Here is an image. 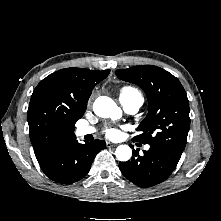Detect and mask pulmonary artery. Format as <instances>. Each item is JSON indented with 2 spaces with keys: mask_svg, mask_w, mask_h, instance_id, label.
Instances as JSON below:
<instances>
[{
  "mask_svg": "<svg viewBox=\"0 0 221 221\" xmlns=\"http://www.w3.org/2000/svg\"><path fill=\"white\" fill-rule=\"evenodd\" d=\"M120 101L123 106V109L128 114L136 113L143 103V100L140 98L126 99V98L120 97ZM94 132H95V129L91 126H81L77 128L76 130V134L78 136H86V135L93 134ZM149 148H150L149 145L145 146L146 150H148Z\"/></svg>",
  "mask_w": 221,
  "mask_h": 221,
  "instance_id": "pulmonary-artery-1",
  "label": "pulmonary artery"
}]
</instances>
